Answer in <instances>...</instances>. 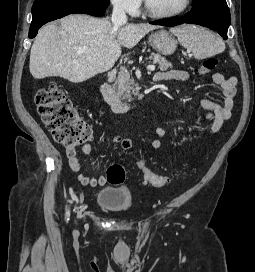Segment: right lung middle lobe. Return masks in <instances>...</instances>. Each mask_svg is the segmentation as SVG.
Masks as SVG:
<instances>
[{
	"label": "right lung middle lobe",
	"mask_w": 255,
	"mask_h": 272,
	"mask_svg": "<svg viewBox=\"0 0 255 272\" xmlns=\"http://www.w3.org/2000/svg\"><path fill=\"white\" fill-rule=\"evenodd\" d=\"M88 3L97 4L103 8H107L110 0H83Z\"/></svg>",
	"instance_id": "right-lung-middle-lobe-1"
}]
</instances>
